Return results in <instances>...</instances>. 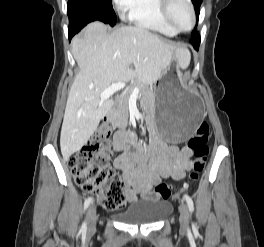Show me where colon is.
<instances>
[{
	"mask_svg": "<svg viewBox=\"0 0 264 247\" xmlns=\"http://www.w3.org/2000/svg\"><path fill=\"white\" fill-rule=\"evenodd\" d=\"M111 132L108 122L101 124L88 143L70 157L69 167L76 184L83 192L93 194L104 209L118 211L125 207L126 197L121 177L109 168ZM208 137L209 125L203 122L188 142L189 149L194 153L190 173L192 181H196L205 168L209 152ZM155 191L163 199L172 195L171 187L165 183L157 185Z\"/></svg>",
	"mask_w": 264,
	"mask_h": 247,
	"instance_id": "obj_1",
	"label": "colon"
}]
</instances>
